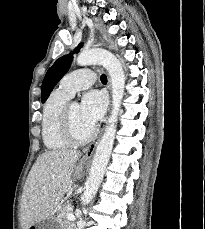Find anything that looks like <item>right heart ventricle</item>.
<instances>
[{
  "instance_id": "obj_1",
  "label": "right heart ventricle",
  "mask_w": 205,
  "mask_h": 229,
  "mask_svg": "<svg viewBox=\"0 0 205 229\" xmlns=\"http://www.w3.org/2000/svg\"><path fill=\"white\" fill-rule=\"evenodd\" d=\"M70 97L57 89L53 91L43 106L42 139L47 149L58 151L70 146L60 133V117L64 105Z\"/></svg>"
}]
</instances>
